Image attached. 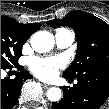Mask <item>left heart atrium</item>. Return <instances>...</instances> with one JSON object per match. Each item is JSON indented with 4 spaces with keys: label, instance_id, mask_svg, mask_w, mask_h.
Wrapping results in <instances>:
<instances>
[{
    "label": "left heart atrium",
    "instance_id": "1",
    "mask_svg": "<svg viewBox=\"0 0 109 109\" xmlns=\"http://www.w3.org/2000/svg\"><path fill=\"white\" fill-rule=\"evenodd\" d=\"M65 65L63 57L32 58L29 63L30 70L43 80L54 79Z\"/></svg>",
    "mask_w": 109,
    "mask_h": 109
}]
</instances>
